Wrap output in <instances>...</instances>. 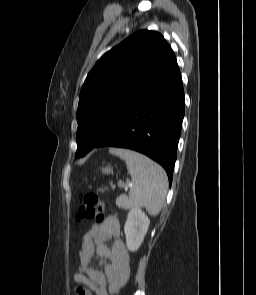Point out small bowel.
I'll return each instance as SVG.
<instances>
[{"label":"small bowel","instance_id":"c3829d8e","mask_svg":"<svg viewBox=\"0 0 256 295\" xmlns=\"http://www.w3.org/2000/svg\"><path fill=\"white\" fill-rule=\"evenodd\" d=\"M110 238H114L111 247L106 244ZM78 258L80 266L73 279L80 286L79 295H114L122 288L130 268L117 216H108L84 233Z\"/></svg>","mask_w":256,"mask_h":295}]
</instances>
